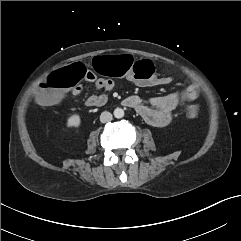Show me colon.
Segmentation results:
<instances>
[{"label": "colon", "instance_id": "colon-1", "mask_svg": "<svg viewBox=\"0 0 241 241\" xmlns=\"http://www.w3.org/2000/svg\"><path fill=\"white\" fill-rule=\"evenodd\" d=\"M90 69L95 74H107L112 77L129 76L134 79L146 80L152 77L155 66L151 60L144 59L135 61L128 55H95L90 60ZM88 75V68L81 62H73L54 73H45L40 78L41 89L37 94V101L41 105L56 103L62 93L75 86L80 80ZM189 118L199 115V108L190 105L186 108Z\"/></svg>", "mask_w": 241, "mask_h": 241}]
</instances>
